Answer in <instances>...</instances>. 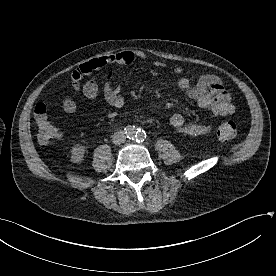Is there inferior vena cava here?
I'll return each mask as SVG.
<instances>
[{
  "instance_id": "obj_1",
  "label": "inferior vena cava",
  "mask_w": 276,
  "mask_h": 276,
  "mask_svg": "<svg viewBox=\"0 0 276 276\" xmlns=\"http://www.w3.org/2000/svg\"><path fill=\"white\" fill-rule=\"evenodd\" d=\"M125 140V135L123 132H118L114 135V143L115 144H121Z\"/></svg>"
}]
</instances>
